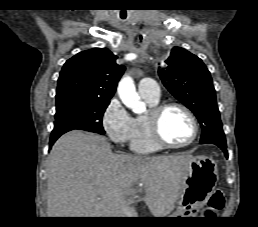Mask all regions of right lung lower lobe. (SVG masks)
Returning <instances> with one entry per match:
<instances>
[{"label":"right lung lower lobe","instance_id":"1","mask_svg":"<svg viewBox=\"0 0 258 227\" xmlns=\"http://www.w3.org/2000/svg\"><path fill=\"white\" fill-rule=\"evenodd\" d=\"M70 131L67 128H63V127H54L52 134H51V138H50V145L49 147L51 148L52 145L54 144V142L64 133Z\"/></svg>","mask_w":258,"mask_h":227}]
</instances>
